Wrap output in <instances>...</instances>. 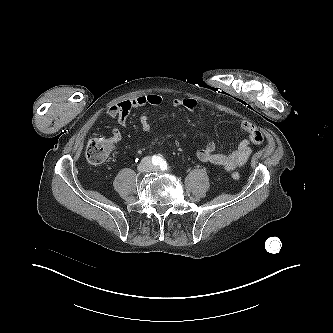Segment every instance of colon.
<instances>
[{
	"instance_id": "1",
	"label": "colon",
	"mask_w": 333,
	"mask_h": 333,
	"mask_svg": "<svg viewBox=\"0 0 333 333\" xmlns=\"http://www.w3.org/2000/svg\"><path fill=\"white\" fill-rule=\"evenodd\" d=\"M116 142L113 137H94L90 139L85 150L87 161L93 165L105 163L115 151ZM231 176L235 180L240 178L238 172H233Z\"/></svg>"
}]
</instances>
